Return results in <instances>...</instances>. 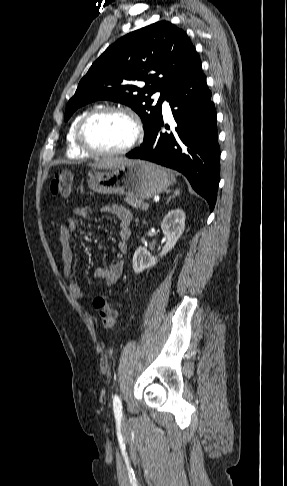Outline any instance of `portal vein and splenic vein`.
I'll return each instance as SVG.
<instances>
[{
	"label": "portal vein and splenic vein",
	"mask_w": 287,
	"mask_h": 486,
	"mask_svg": "<svg viewBox=\"0 0 287 486\" xmlns=\"http://www.w3.org/2000/svg\"><path fill=\"white\" fill-rule=\"evenodd\" d=\"M148 208H149L148 203H145V204L142 206V209H143V210H145V211H147V210H148Z\"/></svg>",
	"instance_id": "18ae733b"
}]
</instances>
